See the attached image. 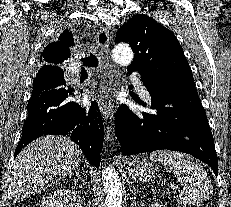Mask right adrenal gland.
<instances>
[{
    "label": "right adrenal gland",
    "mask_w": 231,
    "mask_h": 207,
    "mask_svg": "<svg viewBox=\"0 0 231 207\" xmlns=\"http://www.w3.org/2000/svg\"><path fill=\"white\" fill-rule=\"evenodd\" d=\"M74 171H75L76 176H77L78 178H80V175H79V168L76 167Z\"/></svg>",
    "instance_id": "right-adrenal-gland-1"
}]
</instances>
